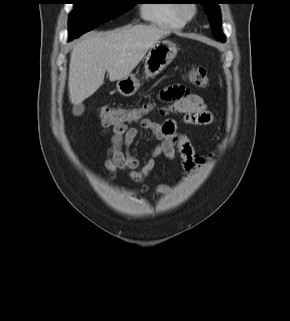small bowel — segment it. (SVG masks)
<instances>
[{"label":"small bowel","instance_id":"c3829d8e","mask_svg":"<svg viewBox=\"0 0 290 321\" xmlns=\"http://www.w3.org/2000/svg\"><path fill=\"white\" fill-rule=\"evenodd\" d=\"M161 97L168 102L160 110L162 116L181 114L183 122L189 125L211 126L215 123V117L207 109L203 99L198 95L187 93L181 86L166 88ZM140 128L150 133L160 143L151 150L144 166L138 169L140 162L131 152V147L139 136V129L127 125L112 126L111 145L104 163L111 176L118 170H124L134 181L143 182L154 168L157 157L165 156L173 160L177 153L185 172H190L203 163V158L197 154L190 139L178 131L177 122L173 118L168 117L162 122L143 118L140 121ZM166 191L168 187L165 185L156 187L158 194Z\"/></svg>","mask_w":290,"mask_h":321}]
</instances>
